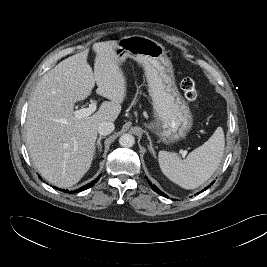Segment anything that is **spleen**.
<instances>
[{
    "label": "spleen",
    "mask_w": 267,
    "mask_h": 267,
    "mask_svg": "<svg viewBox=\"0 0 267 267\" xmlns=\"http://www.w3.org/2000/svg\"><path fill=\"white\" fill-rule=\"evenodd\" d=\"M225 147L224 132L218 127L201 146L182 160L175 153L159 151L158 162L163 174L184 189H195L217 170Z\"/></svg>",
    "instance_id": "1"
}]
</instances>
